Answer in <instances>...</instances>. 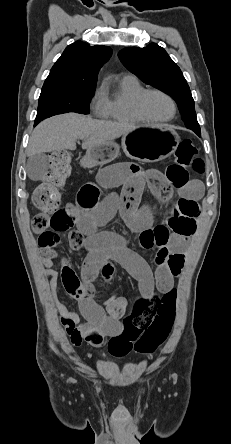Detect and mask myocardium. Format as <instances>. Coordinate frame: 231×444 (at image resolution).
<instances>
[{
	"label": "myocardium",
	"instance_id": "obj_1",
	"mask_svg": "<svg viewBox=\"0 0 231 444\" xmlns=\"http://www.w3.org/2000/svg\"><path fill=\"white\" fill-rule=\"evenodd\" d=\"M150 94H160L170 101V103L172 105V114L170 117H168L166 119H154V118L150 117L145 112L144 101H145L146 97ZM133 107H134V111H135L136 115L142 121L148 122V123H154V124H162V123L170 122L176 116V113H177V104H176L175 100L173 99V97L171 95H169L167 92L157 89V88L144 89L136 97Z\"/></svg>",
	"mask_w": 231,
	"mask_h": 444
}]
</instances>
